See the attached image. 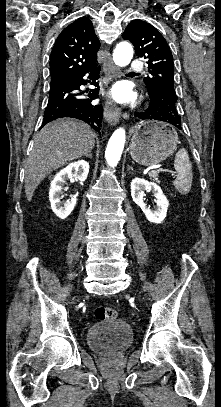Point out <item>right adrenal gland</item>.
<instances>
[{
    "mask_svg": "<svg viewBox=\"0 0 221 407\" xmlns=\"http://www.w3.org/2000/svg\"><path fill=\"white\" fill-rule=\"evenodd\" d=\"M86 157H89L90 159H92V154L91 152L85 155Z\"/></svg>",
    "mask_w": 221,
    "mask_h": 407,
    "instance_id": "obj_1",
    "label": "right adrenal gland"
}]
</instances>
